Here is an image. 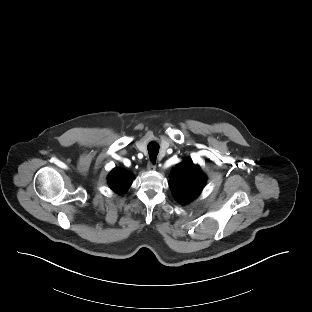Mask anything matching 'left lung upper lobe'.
Wrapping results in <instances>:
<instances>
[{"label": "left lung upper lobe", "mask_w": 312, "mask_h": 312, "mask_svg": "<svg viewBox=\"0 0 312 312\" xmlns=\"http://www.w3.org/2000/svg\"><path fill=\"white\" fill-rule=\"evenodd\" d=\"M169 178L171 191L181 204H186L196 198L206 181L200 167L188 159L177 164L171 170Z\"/></svg>", "instance_id": "5c2ea615"}]
</instances>
